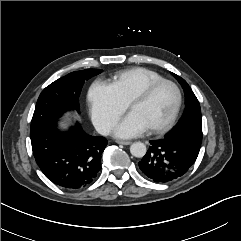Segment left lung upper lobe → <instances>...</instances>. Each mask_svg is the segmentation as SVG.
<instances>
[{"instance_id": "1", "label": "left lung upper lobe", "mask_w": 241, "mask_h": 241, "mask_svg": "<svg viewBox=\"0 0 241 241\" xmlns=\"http://www.w3.org/2000/svg\"><path fill=\"white\" fill-rule=\"evenodd\" d=\"M173 75L184 89L186 109L179 124L171 132L165 135V138L179 142L190 152L198 156L202 142L200 105L187 82L178 75Z\"/></svg>"}]
</instances>
